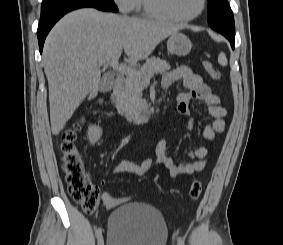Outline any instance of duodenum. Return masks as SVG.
Wrapping results in <instances>:
<instances>
[{"instance_id": "obj_1", "label": "duodenum", "mask_w": 283, "mask_h": 245, "mask_svg": "<svg viewBox=\"0 0 283 245\" xmlns=\"http://www.w3.org/2000/svg\"><path fill=\"white\" fill-rule=\"evenodd\" d=\"M124 84H125V79L123 77H117L114 82L112 94H111V104L115 109H117L119 106L120 96L122 94ZM152 117H153L152 112H146L129 119L128 123L133 125H142L147 123L149 120H151Z\"/></svg>"}]
</instances>
